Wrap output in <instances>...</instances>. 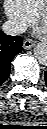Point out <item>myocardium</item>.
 <instances>
[{
  "instance_id": "obj_1",
  "label": "myocardium",
  "mask_w": 47,
  "mask_h": 129,
  "mask_svg": "<svg viewBox=\"0 0 47 129\" xmlns=\"http://www.w3.org/2000/svg\"><path fill=\"white\" fill-rule=\"evenodd\" d=\"M47 8V0L43 3L41 9L36 13L35 20L40 22L42 19L44 20Z\"/></svg>"
}]
</instances>
